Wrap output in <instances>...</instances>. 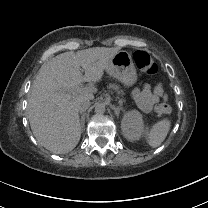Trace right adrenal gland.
I'll return each mask as SVG.
<instances>
[{
	"label": "right adrenal gland",
	"instance_id": "right-adrenal-gland-1",
	"mask_svg": "<svg viewBox=\"0 0 208 208\" xmlns=\"http://www.w3.org/2000/svg\"><path fill=\"white\" fill-rule=\"evenodd\" d=\"M80 121H81V126L84 127L85 125V113H80Z\"/></svg>",
	"mask_w": 208,
	"mask_h": 208
}]
</instances>
